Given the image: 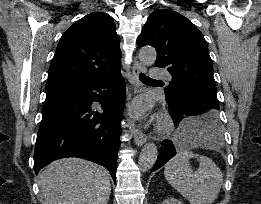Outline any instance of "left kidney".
Masks as SVG:
<instances>
[{"label": "left kidney", "mask_w": 261, "mask_h": 204, "mask_svg": "<svg viewBox=\"0 0 261 204\" xmlns=\"http://www.w3.org/2000/svg\"><path fill=\"white\" fill-rule=\"evenodd\" d=\"M161 204H183L181 201L175 198H169L163 201Z\"/></svg>", "instance_id": "left-kidney-1"}]
</instances>
